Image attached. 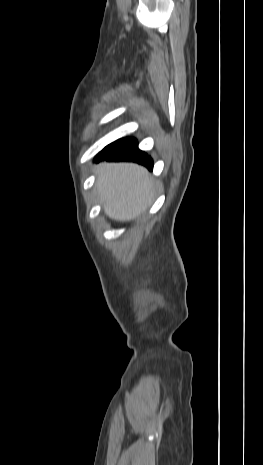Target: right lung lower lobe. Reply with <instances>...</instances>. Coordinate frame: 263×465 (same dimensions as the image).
I'll list each match as a JSON object with an SVG mask.
<instances>
[{
  "label": "right lung lower lobe",
  "instance_id": "obj_1",
  "mask_svg": "<svg viewBox=\"0 0 263 465\" xmlns=\"http://www.w3.org/2000/svg\"><path fill=\"white\" fill-rule=\"evenodd\" d=\"M102 160L133 161L145 165L150 170L153 168L152 159L138 149L137 140L134 138L119 139L106 146L95 158V162Z\"/></svg>",
  "mask_w": 263,
  "mask_h": 465
}]
</instances>
